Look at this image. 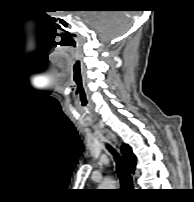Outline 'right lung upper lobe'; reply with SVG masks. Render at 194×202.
I'll return each mask as SVG.
<instances>
[{"label":"right lung upper lobe","instance_id":"right-lung-upper-lobe-1","mask_svg":"<svg viewBox=\"0 0 194 202\" xmlns=\"http://www.w3.org/2000/svg\"><path fill=\"white\" fill-rule=\"evenodd\" d=\"M122 154L124 156V159L128 162L129 164V168H130V172L134 173L135 170V165H136V157L135 155L132 153V149L126 145L122 147Z\"/></svg>","mask_w":194,"mask_h":202}]
</instances>
